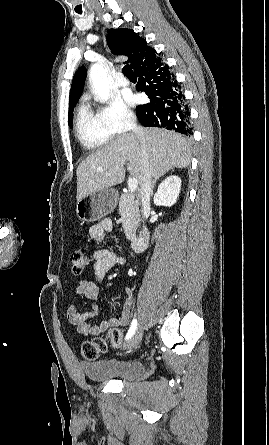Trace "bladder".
I'll list each match as a JSON object with an SVG mask.
<instances>
[{"label":"bladder","instance_id":"bladder-1","mask_svg":"<svg viewBox=\"0 0 269 445\" xmlns=\"http://www.w3.org/2000/svg\"><path fill=\"white\" fill-rule=\"evenodd\" d=\"M80 367L89 380L108 381L118 379L130 381L139 378L145 368L140 361L93 360L82 361Z\"/></svg>","mask_w":269,"mask_h":445}]
</instances>
